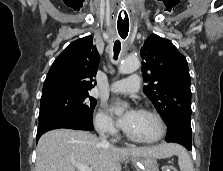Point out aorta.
Here are the masks:
<instances>
[{
	"label": "aorta",
	"instance_id": "762f6f07",
	"mask_svg": "<svg viewBox=\"0 0 223 171\" xmlns=\"http://www.w3.org/2000/svg\"><path fill=\"white\" fill-rule=\"evenodd\" d=\"M140 61L137 57H127L119 65V72L121 74H130L138 70ZM121 112H119L120 114Z\"/></svg>",
	"mask_w": 223,
	"mask_h": 171
}]
</instances>
